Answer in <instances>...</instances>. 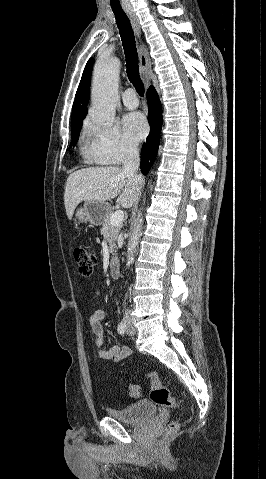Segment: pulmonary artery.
Returning <instances> with one entry per match:
<instances>
[{
    "mask_svg": "<svg viewBox=\"0 0 266 479\" xmlns=\"http://www.w3.org/2000/svg\"><path fill=\"white\" fill-rule=\"evenodd\" d=\"M122 101L124 105L129 109H134L138 107V104H139L137 94L135 90L132 88H128L125 90L122 96Z\"/></svg>",
    "mask_w": 266,
    "mask_h": 479,
    "instance_id": "e3ab8cb5",
    "label": "pulmonary artery"
}]
</instances>
